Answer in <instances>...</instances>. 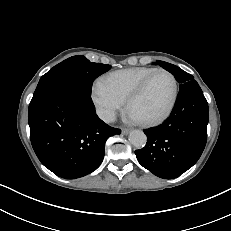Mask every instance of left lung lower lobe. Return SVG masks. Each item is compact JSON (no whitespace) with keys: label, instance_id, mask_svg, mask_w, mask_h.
<instances>
[{"label":"left lung lower lobe","instance_id":"0a47b994","mask_svg":"<svg viewBox=\"0 0 231 231\" xmlns=\"http://www.w3.org/2000/svg\"><path fill=\"white\" fill-rule=\"evenodd\" d=\"M208 103L195 80L180 85L170 117L145 130L147 144L136 150L138 162L154 175L174 179L200 158L207 141Z\"/></svg>","mask_w":231,"mask_h":231}]
</instances>
